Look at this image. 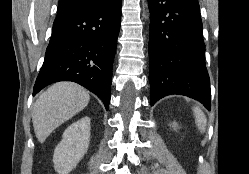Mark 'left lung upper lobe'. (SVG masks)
<instances>
[{
	"instance_id": "5c2ea615",
	"label": "left lung upper lobe",
	"mask_w": 249,
	"mask_h": 174,
	"mask_svg": "<svg viewBox=\"0 0 249 174\" xmlns=\"http://www.w3.org/2000/svg\"><path fill=\"white\" fill-rule=\"evenodd\" d=\"M187 1L192 3L195 6L199 7L198 0H187Z\"/></svg>"
}]
</instances>
